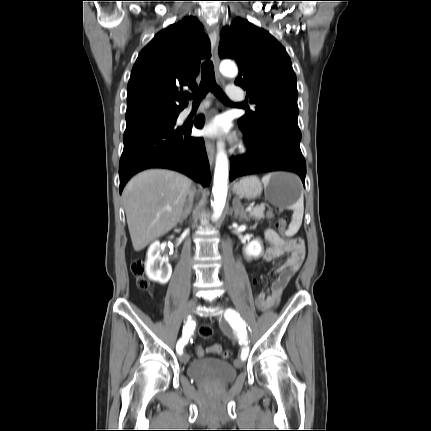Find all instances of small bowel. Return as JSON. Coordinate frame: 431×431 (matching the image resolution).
<instances>
[{"instance_id":"small-bowel-1","label":"small bowel","mask_w":431,"mask_h":431,"mask_svg":"<svg viewBox=\"0 0 431 431\" xmlns=\"http://www.w3.org/2000/svg\"><path fill=\"white\" fill-rule=\"evenodd\" d=\"M265 238L270 244L263 255L265 260L273 261L286 253H290V256L277 268L276 272L278 276L272 282L271 287L266 291L257 293V297L260 300L259 305H261L262 310L273 308L279 303L284 288L300 269L305 257V246L300 239H283L272 229H267L265 231ZM203 350V354L207 352L220 355L224 352L222 347L218 344H213L207 347L206 350L203 348ZM194 351L196 350L194 349Z\"/></svg>"}]
</instances>
